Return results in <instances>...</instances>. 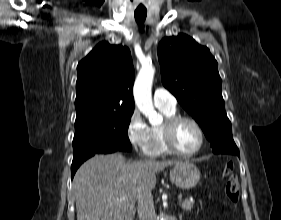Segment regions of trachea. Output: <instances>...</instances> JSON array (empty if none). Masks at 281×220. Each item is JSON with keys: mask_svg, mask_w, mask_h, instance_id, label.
I'll use <instances>...</instances> for the list:
<instances>
[{"mask_svg": "<svg viewBox=\"0 0 281 220\" xmlns=\"http://www.w3.org/2000/svg\"><path fill=\"white\" fill-rule=\"evenodd\" d=\"M146 14L147 11L146 10H135L134 15H135V20L138 24H143V22L146 19Z\"/></svg>", "mask_w": 281, "mask_h": 220, "instance_id": "obj_1", "label": "trachea"}]
</instances>
